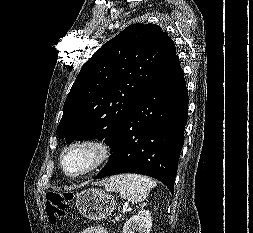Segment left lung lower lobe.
Wrapping results in <instances>:
<instances>
[{
  "label": "left lung lower lobe",
  "instance_id": "left-lung-lower-lobe-1",
  "mask_svg": "<svg viewBox=\"0 0 253 233\" xmlns=\"http://www.w3.org/2000/svg\"><path fill=\"white\" fill-rule=\"evenodd\" d=\"M183 76L175 54L123 122L109 161L95 179L143 174L173 194L189 101Z\"/></svg>",
  "mask_w": 253,
  "mask_h": 233
}]
</instances>
